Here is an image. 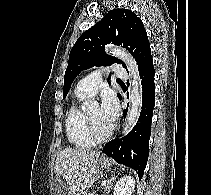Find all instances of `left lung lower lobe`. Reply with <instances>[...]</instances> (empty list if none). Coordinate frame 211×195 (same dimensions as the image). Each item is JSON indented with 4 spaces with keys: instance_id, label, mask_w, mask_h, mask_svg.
<instances>
[{
    "instance_id": "obj_1",
    "label": "left lung lower lobe",
    "mask_w": 211,
    "mask_h": 195,
    "mask_svg": "<svg viewBox=\"0 0 211 195\" xmlns=\"http://www.w3.org/2000/svg\"><path fill=\"white\" fill-rule=\"evenodd\" d=\"M139 74L142 79V110L138 122L127 136L107 143L102 152L116 162L132 167L141 179L148 160L151 121L155 104V71L152 57L142 64ZM126 113L125 110L124 116Z\"/></svg>"
}]
</instances>
